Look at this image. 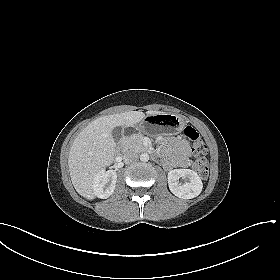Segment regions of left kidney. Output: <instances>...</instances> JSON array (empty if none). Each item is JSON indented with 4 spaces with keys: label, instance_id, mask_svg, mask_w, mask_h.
I'll return each instance as SVG.
<instances>
[{
    "label": "left kidney",
    "instance_id": "5707ae66",
    "mask_svg": "<svg viewBox=\"0 0 280 280\" xmlns=\"http://www.w3.org/2000/svg\"><path fill=\"white\" fill-rule=\"evenodd\" d=\"M187 179L184 184L179 183V179ZM168 185L170 191L182 199H192L197 197L203 188L202 181L198 174L190 169H174L168 173Z\"/></svg>",
    "mask_w": 280,
    "mask_h": 280
}]
</instances>
